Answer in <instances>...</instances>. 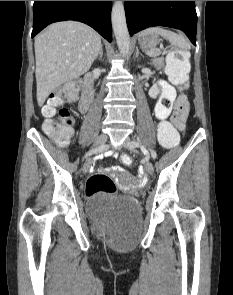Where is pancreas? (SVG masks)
Returning <instances> with one entry per match:
<instances>
[{
  "label": "pancreas",
  "mask_w": 233,
  "mask_h": 295,
  "mask_svg": "<svg viewBox=\"0 0 233 295\" xmlns=\"http://www.w3.org/2000/svg\"><path fill=\"white\" fill-rule=\"evenodd\" d=\"M152 63L156 67V69H161L164 66V58L160 57V58L154 59Z\"/></svg>",
  "instance_id": "1"
}]
</instances>
